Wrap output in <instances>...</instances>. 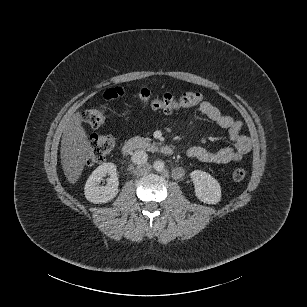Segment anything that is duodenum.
Returning <instances> with one entry per match:
<instances>
[{
  "label": "duodenum",
  "instance_id": "obj_1",
  "mask_svg": "<svg viewBox=\"0 0 307 307\" xmlns=\"http://www.w3.org/2000/svg\"><path fill=\"white\" fill-rule=\"evenodd\" d=\"M135 150H146L161 153L165 156H171L174 153V148L170 145L157 144L141 137H133L127 140L122 146L123 155H129Z\"/></svg>",
  "mask_w": 307,
  "mask_h": 307
}]
</instances>
